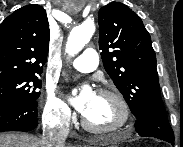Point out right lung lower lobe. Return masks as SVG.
Returning <instances> with one entry per match:
<instances>
[{
  "instance_id": "right-lung-lower-lobe-1",
  "label": "right lung lower lobe",
  "mask_w": 183,
  "mask_h": 147,
  "mask_svg": "<svg viewBox=\"0 0 183 147\" xmlns=\"http://www.w3.org/2000/svg\"><path fill=\"white\" fill-rule=\"evenodd\" d=\"M37 101L14 99L0 101V132L31 131L38 125Z\"/></svg>"
}]
</instances>
